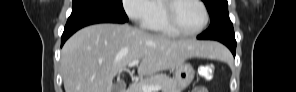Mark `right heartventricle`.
Wrapping results in <instances>:
<instances>
[{
    "label": "right heart ventricle",
    "mask_w": 296,
    "mask_h": 92,
    "mask_svg": "<svg viewBox=\"0 0 296 92\" xmlns=\"http://www.w3.org/2000/svg\"><path fill=\"white\" fill-rule=\"evenodd\" d=\"M153 7L154 15L145 28L164 35L176 36L177 33L167 25L165 20V1H153Z\"/></svg>",
    "instance_id": "right-heart-ventricle-1"
}]
</instances>
